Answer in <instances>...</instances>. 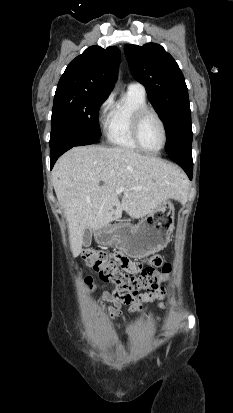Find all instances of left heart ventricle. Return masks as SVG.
Wrapping results in <instances>:
<instances>
[{
	"instance_id": "left-heart-ventricle-1",
	"label": "left heart ventricle",
	"mask_w": 233,
	"mask_h": 413,
	"mask_svg": "<svg viewBox=\"0 0 233 413\" xmlns=\"http://www.w3.org/2000/svg\"><path fill=\"white\" fill-rule=\"evenodd\" d=\"M143 145L150 150H156L162 143V130L158 120L151 114L147 115L140 129Z\"/></svg>"
}]
</instances>
